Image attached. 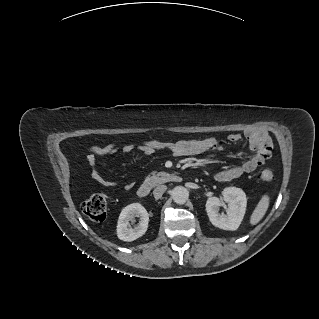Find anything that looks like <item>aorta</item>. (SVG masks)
Here are the masks:
<instances>
[{
  "mask_svg": "<svg viewBox=\"0 0 319 319\" xmlns=\"http://www.w3.org/2000/svg\"><path fill=\"white\" fill-rule=\"evenodd\" d=\"M172 199L176 204L182 205L185 204L189 197L188 190L183 186H176L172 190Z\"/></svg>",
  "mask_w": 319,
  "mask_h": 319,
  "instance_id": "762f6f07",
  "label": "aorta"
}]
</instances>
